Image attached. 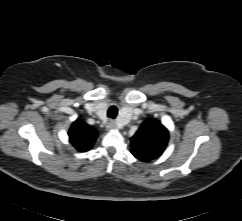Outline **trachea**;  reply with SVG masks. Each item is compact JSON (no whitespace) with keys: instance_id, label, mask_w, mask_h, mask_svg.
Instances as JSON below:
<instances>
[{"instance_id":"1","label":"trachea","mask_w":242,"mask_h":221,"mask_svg":"<svg viewBox=\"0 0 242 221\" xmlns=\"http://www.w3.org/2000/svg\"><path fill=\"white\" fill-rule=\"evenodd\" d=\"M118 110L115 106H111L107 111V116L114 119L117 116Z\"/></svg>"}]
</instances>
